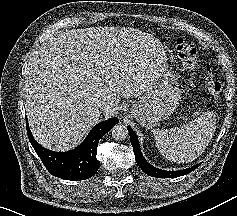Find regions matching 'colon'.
Instances as JSON below:
<instances>
[{"label": "colon", "instance_id": "colon-1", "mask_svg": "<svg viewBox=\"0 0 237 216\" xmlns=\"http://www.w3.org/2000/svg\"><path fill=\"white\" fill-rule=\"evenodd\" d=\"M176 49L178 55L183 63V65L187 68H195L199 63V58L197 55L196 48L192 42L186 40L184 38H178L176 42ZM206 70L209 71L208 66L205 67ZM209 83L215 87L216 91H219V84L211 78H209Z\"/></svg>", "mask_w": 237, "mask_h": 216}]
</instances>
